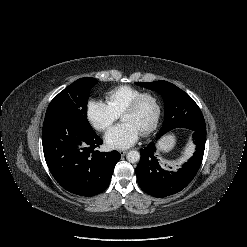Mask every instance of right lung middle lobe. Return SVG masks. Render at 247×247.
<instances>
[{
  "label": "right lung middle lobe",
  "instance_id": "right-lung-middle-lobe-1",
  "mask_svg": "<svg viewBox=\"0 0 247 247\" xmlns=\"http://www.w3.org/2000/svg\"><path fill=\"white\" fill-rule=\"evenodd\" d=\"M98 83L97 79L84 77L76 80L61 91L49 104L45 118L53 116H68L87 120V100L90 89Z\"/></svg>",
  "mask_w": 247,
  "mask_h": 247
}]
</instances>
